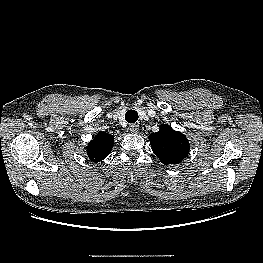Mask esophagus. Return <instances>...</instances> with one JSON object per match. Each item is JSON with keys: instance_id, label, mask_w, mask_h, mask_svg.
<instances>
[{"instance_id": "1", "label": "esophagus", "mask_w": 263, "mask_h": 263, "mask_svg": "<svg viewBox=\"0 0 263 263\" xmlns=\"http://www.w3.org/2000/svg\"><path fill=\"white\" fill-rule=\"evenodd\" d=\"M129 129L132 133H137L139 131V125L138 124H130Z\"/></svg>"}]
</instances>
